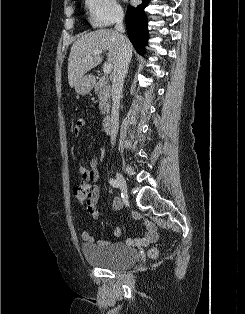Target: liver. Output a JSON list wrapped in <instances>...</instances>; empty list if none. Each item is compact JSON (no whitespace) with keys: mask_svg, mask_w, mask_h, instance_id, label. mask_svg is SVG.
<instances>
[{"mask_svg":"<svg viewBox=\"0 0 245 314\" xmlns=\"http://www.w3.org/2000/svg\"><path fill=\"white\" fill-rule=\"evenodd\" d=\"M127 39V38H126ZM128 44L133 50L130 41ZM121 49V37L117 31L101 29L81 35L72 45L68 59V81L75 87L77 81L92 68L102 62L100 54H92L95 50L108 51V62L115 64Z\"/></svg>","mask_w":245,"mask_h":314,"instance_id":"obj_1","label":"liver"}]
</instances>
